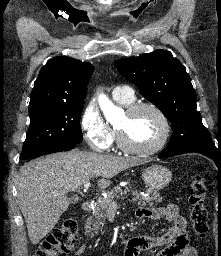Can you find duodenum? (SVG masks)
Here are the masks:
<instances>
[{
  "instance_id": "duodenum-1",
  "label": "duodenum",
  "mask_w": 221,
  "mask_h": 256,
  "mask_svg": "<svg viewBox=\"0 0 221 256\" xmlns=\"http://www.w3.org/2000/svg\"><path fill=\"white\" fill-rule=\"evenodd\" d=\"M92 207H93V203L90 202V201H85V202H83V203H82V206H81V208H82V210H83L84 212H89V211H91ZM127 242H128V240H124V244H127Z\"/></svg>"
}]
</instances>
